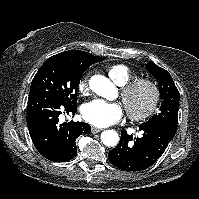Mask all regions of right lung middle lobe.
I'll use <instances>...</instances> for the list:
<instances>
[{
    "label": "right lung middle lobe",
    "instance_id": "dd1d6c3e",
    "mask_svg": "<svg viewBox=\"0 0 199 199\" xmlns=\"http://www.w3.org/2000/svg\"><path fill=\"white\" fill-rule=\"evenodd\" d=\"M84 70L49 58L34 76L30 93L45 92L68 106H77V89Z\"/></svg>",
    "mask_w": 199,
    "mask_h": 199
}]
</instances>
